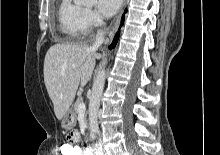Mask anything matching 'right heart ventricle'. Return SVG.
Here are the masks:
<instances>
[{"instance_id": "obj_1", "label": "right heart ventricle", "mask_w": 220, "mask_h": 155, "mask_svg": "<svg viewBox=\"0 0 220 155\" xmlns=\"http://www.w3.org/2000/svg\"><path fill=\"white\" fill-rule=\"evenodd\" d=\"M85 9L74 0H61L58 20L61 32L70 40L82 38L85 32Z\"/></svg>"}]
</instances>
